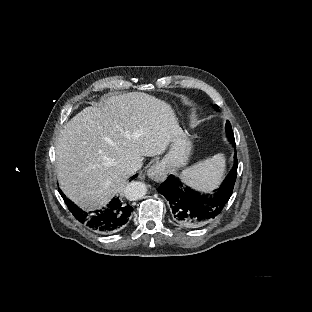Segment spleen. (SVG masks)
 I'll list each match as a JSON object with an SVG mask.
<instances>
[{
  "instance_id": "spleen-1",
  "label": "spleen",
  "mask_w": 312,
  "mask_h": 312,
  "mask_svg": "<svg viewBox=\"0 0 312 312\" xmlns=\"http://www.w3.org/2000/svg\"><path fill=\"white\" fill-rule=\"evenodd\" d=\"M224 163L222 154L214 155L183 170L181 178L195 189L212 190L221 181Z\"/></svg>"
}]
</instances>
